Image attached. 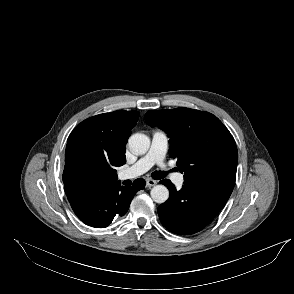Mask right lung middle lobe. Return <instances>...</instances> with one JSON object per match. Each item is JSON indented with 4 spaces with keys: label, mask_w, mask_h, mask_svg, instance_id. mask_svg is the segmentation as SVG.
I'll use <instances>...</instances> for the list:
<instances>
[{
    "label": "right lung middle lobe",
    "mask_w": 294,
    "mask_h": 294,
    "mask_svg": "<svg viewBox=\"0 0 294 294\" xmlns=\"http://www.w3.org/2000/svg\"><path fill=\"white\" fill-rule=\"evenodd\" d=\"M94 172L91 169H81V170H76L74 173V177L77 180H88L93 178Z\"/></svg>",
    "instance_id": "obj_1"
}]
</instances>
